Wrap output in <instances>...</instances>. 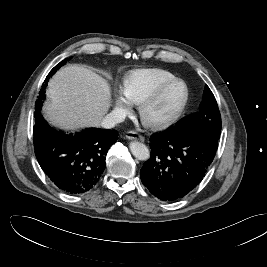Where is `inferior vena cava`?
<instances>
[{
    "label": "inferior vena cava",
    "mask_w": 267,
    "mask_h": 267,
    "mask_svg": "<svg viewBox=\"0 0 267 267\" xmlns=\"http://www.w3.org/2000/svg\"><path fill=\"white\" fill-rule=\"evenodd\" d=\"M125 115L120 111H112L107 114L101 121V126L106 129L114 127L116 124L123 122Z\"/></svg>",
    "instance_id": "1"
}]
</instances>
